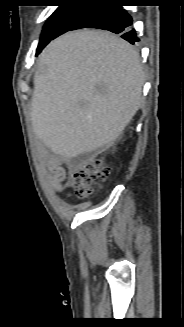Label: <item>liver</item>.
I'll return each mask as SVG.
<instances>
[{
  "instance_id": "1",
  "label": "liver",
  "mask_w": 184,
  "mask_h": 327,
  "mask_svg": "<svg viewBox=\"0 0 184 327\" xmlns=\"http://www.w3.org/2000/svg\"><path fill=\"white\" fill-rule=\"evenodd\" d=\"M143 83L139 54L125 40L96 30L67 33L39 57L33 131L65 158L110 147L139 109Z\"/></svg>"
}]
</instances>
